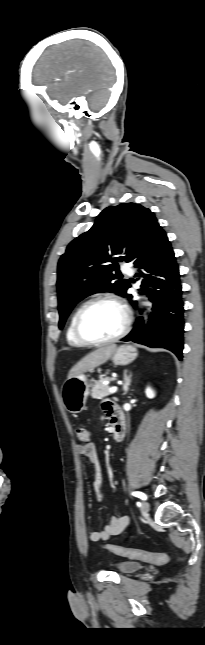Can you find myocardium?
I'll use <instances>...</instances> for the list:
<instances>
[{"instance_id":"1","label":"myocardium","mask_w":205,"mask_h":645,"mask_svg":"<svg viewBox=\"0 0 205 645\" xmlns=\"http://www.w3.org/2000/svg\"><path fill=\"white\" fill-rule=\"evenodd\" d=\"M100 303H112L118 306L123 313V317H124L123 326L118 333H116L115 335L109 338L91 339V338H88L82 330V320H83L84 314L90 307ZM130 326H131V316L127 306L114 295H101L88 300L78 309L74 320V333L76 337L79 339V341H81L84 345L100 346V345L112 343L121 339L128 333Z\"/></svg>"}]
</instances>
